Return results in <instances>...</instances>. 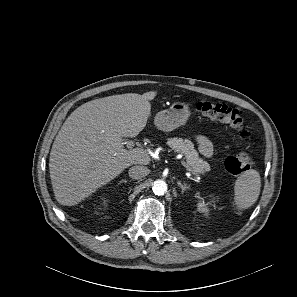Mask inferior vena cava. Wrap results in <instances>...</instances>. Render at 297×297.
<instances>
[{
  "instance_id": "602c4592",
  "label": "inferior vena cava",
  "mask_w": 297,
  "mask_h": 297,
  "mask_svg": "<svg viewBox=\"0 0 297 297\" xmlns=\"http://www.w3.org/2000/svg\"><path fill=\"white\" fill-rule=\"evenodd\" d=\"M148 173L149 169L145 166L136 165L129 169V176L133 179H141L147 176Z\"/></svg>"
}]
</instances>
